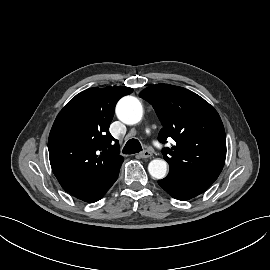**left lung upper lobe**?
<instances>
[{
	"mask_svg": "<svg viewBox=\"0 0 270 270\" xmlns=\"http://www.w3.org/2000/svg\"><path fill=\"white\" fill-rule=\"evenodd\" d=\"M139 96L152 104L163 128L158 139L175 140L164 148L169 174H197L215 181L226 158V136L217 111L196 93L183 87L156 84Z\"/></svg>",
	"mask_w": 270,
	"mask_h": 270,
	"instance_id": "obj_1",
	"label": "left lung upper lobe"
}]
</instances>
